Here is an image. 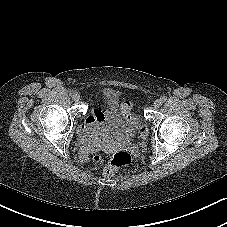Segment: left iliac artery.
I'll use <instances>...</instances> for the list:
<instances>
[{
  "instance_id": "left-iliac-artery-1",
  "label": "left iliac artery",
  "mask_w": 227,
  "mask_h": 227,
  "mask_svg": "<svg viewBox=\"0 0 227 227\" xmlns=\"http://www.w3.org/2000/svg\"><path fill=\"white\" fill-rule=\"evenodd\" d=\"M166 100H167V97H166V96H162V97L160 98L161 103H164Z\"/></svg>"
}]
</instances>
